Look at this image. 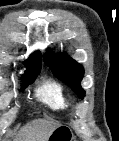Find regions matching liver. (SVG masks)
Wrapping results in <instances>:
<instances>
[{
    "instance_id": "6515ba94",
    "label": "liver",
    "mask_w": 119,
    "mask_h": 141,
    "mask_svg": "<svg viewBox=\"0 0 119 141\" xmlns=\"http://www.w3.org/2000/svg\"><path fill=\"white\" fill-rule=\"evenodd\" d=\"M60 126L53 120L35 119L27 126L29 131V139L32 141H48L50 134Z\"/></svg>"
}]
</instances>
